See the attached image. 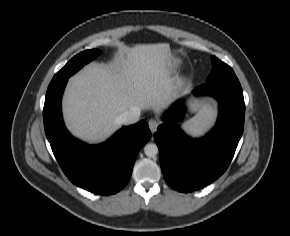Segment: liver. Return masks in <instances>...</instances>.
Returning <instances> with one entry per match:
<instances>
[{"label":"liver","mask_w":290,"mask_h":236,"mask_svg":"<svg viewBox=\"0 0 290 236\" xmlns=\"http://www.w3.org/2000/svg\"><path fill=\"white\" fill-rule=\"evenodd\" d=\"M166 43L120 50L108 65L92 63L72 76L63 97V116L77 138L100 143L119 127L131 108L162 111L172 101Z\"/></svg>","instance_id":"6515ba94"}]
</instances>
